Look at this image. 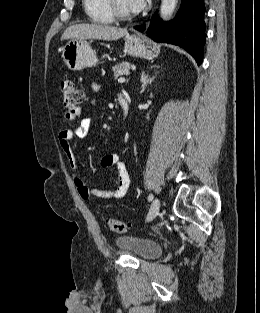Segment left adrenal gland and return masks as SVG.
<instances>
[{
  "mask_svg": "<svg viewBox=\"0 0 260 313\" xmlns=\"http://www.w3.org/2000/svg\"><path fill=\"white\" fill-rule=\"evenodd\" d=\"M153 67H157L159 68V66H152L151 68ZM155 76L153 77H149L148 74H145V72L143 71L142 74H141V91L140 93H143L147 87L148 84H150L153 80H154Z\"/></svg>",
  "mask_w": 260,
  "mask_h": 313,
  "instance_id": "obj_1",
  "label": "left adrenal gland"
}]
</instances>
